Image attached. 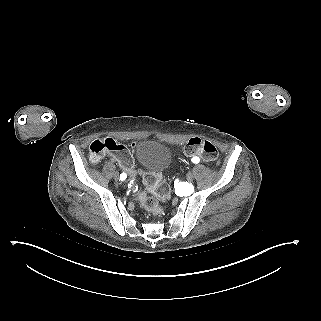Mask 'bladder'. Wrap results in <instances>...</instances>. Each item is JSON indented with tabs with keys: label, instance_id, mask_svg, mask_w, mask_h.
I'll return each instance as SVG.
<instances>
[{
	"label": "bladder",
	"instance_id": "1",
	"mask_svg": "<svg viewBox=\"0 0 321 321\" xmlns=\"http://www.w3.org/2000/svg\"><path fill=\"white\" fill-rule=\"evenodd\" d=\"M133 157L135 162L148 173L161 174L170 163L169 150L152 140L138 142Z\"/></svg>",
	"mask_w": 321,
	"mask_h": 321
}]
</instances>
